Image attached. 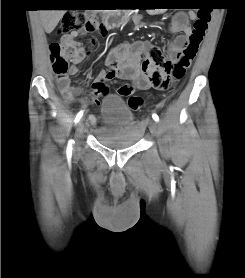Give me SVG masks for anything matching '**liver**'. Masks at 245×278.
<instances>
[{
	"label": "liver",
	"mask_w": 245,
	"mask_h": 278,
	"mask_svg": "<svg viewBox=\"0 0 245 278\" xmlns=\"http://www.w3.org/2000/svg\"><path fill=\"white\" fill-rule=\"evenodd\" d=\"M66 10H40V19L46 33H51L62 19Z\"/></svg>",
	"instance_id": "6515ba94"
}]
</instances>
